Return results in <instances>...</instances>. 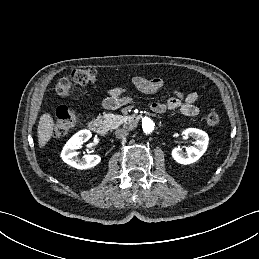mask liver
I'll return each mask as SVG.
<instances>
[{"label": "liver", "mask_w": 259, "mask_h": 259, "mask_svg": "<svg viewBox=\"0 0 259 259\" xmlns=\"http://www.w3.org/2000/svg\"><path fill=\"white\" fill-rule=\"evenodd\" d=\"M54 120L49 113H44L39 120L37 133L38 144L40 148H43L53 136Z\"/></svg>", "instance_id": "6515ba94"}]
</instances>
